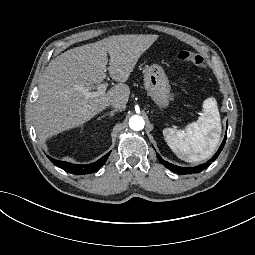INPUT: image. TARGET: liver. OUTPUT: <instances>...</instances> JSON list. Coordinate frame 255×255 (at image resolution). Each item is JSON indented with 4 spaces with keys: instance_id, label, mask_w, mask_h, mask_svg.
Returning <instances> with one entry per match:
<instances>
[{
    "instance_id": "6515ba94",
    "label": "liver",
    "mask_w": 255,
    "mask_h": 255,
    "mask_svg": "<svg viewBox=\"0 0 255 255\" xmlns=\"http://www.w3.org/2000/svg\"><path fill=\"white\" fill-rule=\"evenodd\" d=\"M158 39L155 34L113 35L101 41L70 49L49 63L35 106V129L39 139L89 121L96 114L119 102L121 110L129 99L128 80L140 56ZM107 53L110 77L118 81L102 96L85 98L88 91L106 78Z\"/></svg>"
}]
</instances>
